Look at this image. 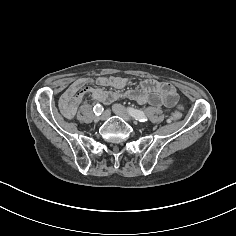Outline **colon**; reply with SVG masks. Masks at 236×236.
<instances>
[{
    "mask_svg": "<svg viewBox=\"0 0 236 236\" xmlns=\"http://www.w3.org/2000/svg\"><path fill=\"white\" fill-rule=\"evenodd\" d=\"M180 118V112L179 111H174L171 114V120L176 121Z\"/></svg>",
    "mask_w": 236,
    "mask_h": 236,
    "instance_id": "5ec220e1",
    "label": "colon"
}]
</instances>
